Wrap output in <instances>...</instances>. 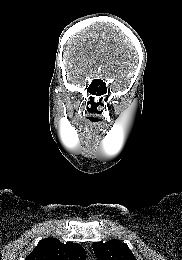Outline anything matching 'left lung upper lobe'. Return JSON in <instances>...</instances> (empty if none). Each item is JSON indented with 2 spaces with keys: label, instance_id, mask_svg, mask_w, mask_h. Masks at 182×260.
Listing matches in <instances>:
<instances>
[{
  "label": "left lung upper lobe",
  "instance_id": "5c2ea615",
  "mask_svg": "<svg viewBox=\"0 0 182 260\" xmlns=\"http://www.w3.org/2000/svg\"><path fill=\"white\" fill-rule=\"evenodd\" d=\"M92 247L97 260H137L129 247L119 240L94 242Z\"/></svg>",
  "mask_w": 182,
  "mask_h": 260
}]
</instances>
